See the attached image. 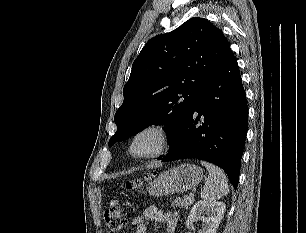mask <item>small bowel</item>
<instances>
[{"label":"small bowel","mask_w":306,"mask_h":233,"mask_svg":"<svg viewBox=\"0 0 306 233\" xmlns=\"http://www.w3.org/2000/svg\"><path fill=\"white\" fill-rule=\"evenodd\" d=\"M152 221L164 223L167 231L174 233L179 216L176 212H164L155 207H148L142 215H138L132 220V225L136 228L135 233H147V225Z\"/></svg>","instance_id":"obj_1"}]
</instances>
